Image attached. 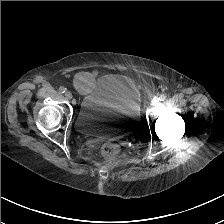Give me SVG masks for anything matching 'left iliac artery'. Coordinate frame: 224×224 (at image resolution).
<instances>
[{
    "label": "left iliac artery",
    "instance_id": "left-iliac-artery-1",
    "mask_svg": "<svg viewBox=\"0 0 224 224\" xmlns=\"http://www.w3.org/2000/svg\"><path fill=\"white\" fill-rule=\"evenodd\" d=\"M166 99V96L164 94L159 95L158 100L159 101H164Z\"/></svg>",
    "mask_w": 224,
    "mask_h": 224
}]
</instances>
